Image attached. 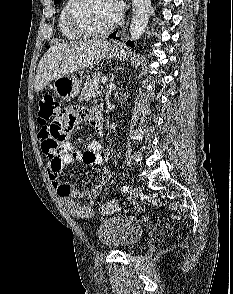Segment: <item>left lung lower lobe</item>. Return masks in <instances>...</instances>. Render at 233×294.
I'll return each mask as SVG.
<instances>
[{
	"mask_svg": "<svg viewBox=\"0 0 233 294\" xmlns=\"http://www.w3.org/2000/svg\"><path fill=\"white\" fill-rule=\"evenodd\" d=\"M115 34H116V33L111 34V35L109 36V38L116 39ZM117 39H119V38H117ZM127 44H128L129 46H131V47H134V43L131 42V41H127Z\"/></svg>",
	"mask_w": 233,
	"mask_h": 294,
	"instance_id": "obj_1",
	"label": "left lung lower lobe"
}]
</instances>
